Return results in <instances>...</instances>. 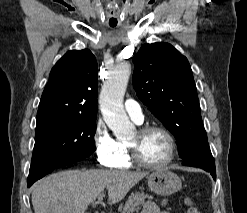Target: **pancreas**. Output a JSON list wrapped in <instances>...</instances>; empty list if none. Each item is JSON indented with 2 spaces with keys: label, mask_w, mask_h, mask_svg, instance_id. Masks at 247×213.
<instances>
[{
  "label": "pancreas",
  "mask_w": 247,
  "mask_h": 213,
  "mask_svg": "<svg viewBox=\"0 0 247 213\" xmlns=\"http://www.w3.org/2000/svg\"><path fill=\"white\" fill-rule=\"evenodd\" d=\"M146 199H153V197L140 192L131 194L128 200L126 201L121 213H134L135 211L140 210V207L144 205ZM166 204L167 200L161 201V205Z\"/></svg>",
  "instance_id": "obj_1"
}]
</instances>
